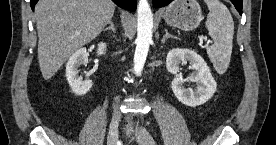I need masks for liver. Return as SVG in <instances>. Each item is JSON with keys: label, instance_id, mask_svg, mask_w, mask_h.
I'll return each mask as SVG.
<instances>
[{"label": "liver", "instance_id": "obj_1", "mask_svg": "<svg viewBox=\"0 0 276 145\" xmlns=\"http://www.w3.org/2000/svg\"><path fill=\"white\" fill-rule=\"evenodd\" d=\"M111 0H39L38 62L50 79L75 51L95 39L114 15Z\"/></svg>", "mask_w": 276, "mask_h": 145}]
</instances>
